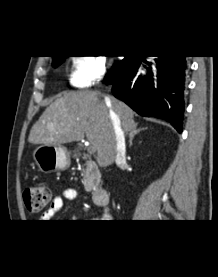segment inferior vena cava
<instances>
[{
  "label": "inferior vena cava",
  "mask_w": 218,
  "mask_h": 277,
  "mask_svg": "<svg viewBox=\"0 0 218 277\" xmlns=\"http://www.w3.org/2000/svg\"><path fill=\"white\" fill-rule=\"evenodd\" d=\"M108 105L110 107V102L108 103ZM109 115L113 125L115 141H116L115 162L117 165H123L126 163V145H125L124 132L121 128L119 117L111 108L109 110Z\"/></svg>",
  "instance_id": "1"
}]
</instances>
